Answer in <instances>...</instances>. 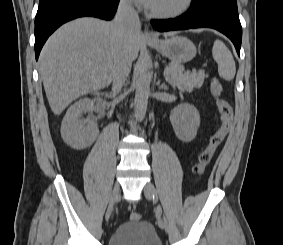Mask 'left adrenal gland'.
I'll use <instances>...</instances> for the list:
<instances>
[{
  "label": "left adrenal gland",
  "instance_id": "left-adrenal-gland-1",
  "mask_svg": "<svg viewBox=\"0 0 283 245\" xmlns=\"http://www.w3.org/2000/svg\"><path fill=\"white\" fill-rule=\"evenodd\" d=\"M158 85H159V89H164V90L168 89V87L164 83L160 85V81L158 82Z\"/></svg>",
  "mask_w": 283,
  "mask_h": 245
}]
</instances>
